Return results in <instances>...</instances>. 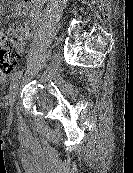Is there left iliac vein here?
<instances>
[{"label": "left iliac vein", "mask_w": 133, "mask_h": 173, "mask_svg": "<svg viewBox=\"0 0 133 173\" xmlns=\"http://www.w3.org/2000/svg\"><path fill=\"white\" fill-rule=\"evenodd\" d=\"M19 92V83L16 82L14 87L11 89L9 95H8V101L10 105V114H9V120L11 121L13 118V105L15 103V98Z\"/></svg>", "instance_id": "obj_1"}]
</instances>
